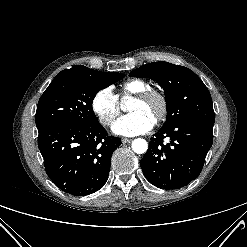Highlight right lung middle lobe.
I'll return each mask as SVG.
<instances>
[{
  "label": "right lung middle lobe",
  "mask_w": 247,
  "mask_h": 247,
  "mask_svg": "<svg viewBox=\"0 0 247 247\" xmlns=\"http://www.w3.org/2000/svg\"><path fill=\"white\" fill-rule=\"evenodd\" d=\"M122 78L121 73L94 72L76 65L61 71L39 99L38 131L64 124L90 126L99 123L92 108L94 97Z\"/></svg>",
  "instance_id": "right-lung-middle-lobe-1"
}]
</instances>
